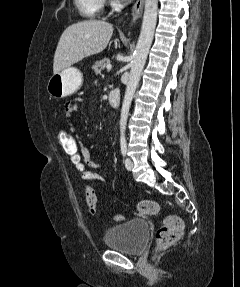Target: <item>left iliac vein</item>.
<instances>
[{"mask_svg":"<svg viewBox=\"0 0 240 287\" xmlns=\"http://www.w3.org/2000/svg\"><path fill=\"white\" fill-rule=\"evenodd\" d=\"M133 162L130 158H126L125 159V167L127 168V170L131 171L133 169Z\"/></svg>","mask_w":240,"mask_h":287,"instance_id":"1","label":"left iliac vein"}]
</instances>
